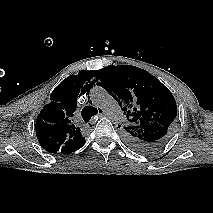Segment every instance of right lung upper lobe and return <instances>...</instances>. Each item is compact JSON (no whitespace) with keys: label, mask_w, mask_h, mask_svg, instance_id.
<instances>
[{"label":"right lung upper lobe","mask_w":213,"mask_h":213,"mask_svg":"<svg viewBox=\"0 0 213 213\" xmlns=\"http://www.w3.org/2000/svg\"><path fill=\"white\" fill-rule=\"evenodd\" d=\"M96 71H81L64 79L51 93V102L37 117L35 130L40 146L50 153H71L85 141L81 130L73 123L77 98L89 93Z\"/></svg>","instance_id":"obj_1"}]
</instances>
